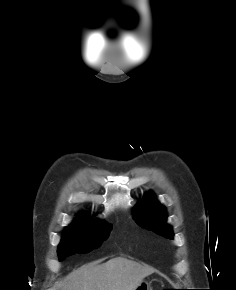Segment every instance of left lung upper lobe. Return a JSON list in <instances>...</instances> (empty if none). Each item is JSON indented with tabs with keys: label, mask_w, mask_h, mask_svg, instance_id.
Instances as JSON below:
<instances>
[{
	"label": "left lung upper lobe",
	"mask_w": 236,
	"mask_h": 290,
	"mask_svg": "<svg viewBox=\"0 0 236 290\" xmlns=\"http://www.w3.org/2000/svg\"><path fill=\"white\" fill-rule=\"evenodd\" d=\"M134 219L144 228L154 230L169 239L173 237L171 227L166 224L165 208L155 200L151 192L137 204Z\"/></svg>",
	"instance_id": "1"
}]
</instances>
